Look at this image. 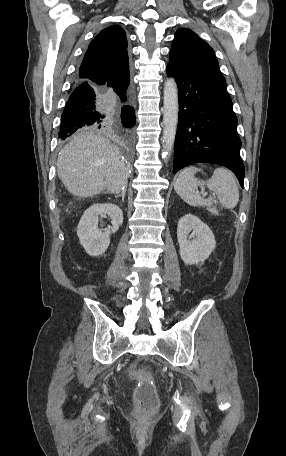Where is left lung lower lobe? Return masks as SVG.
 <instances>
[{
  "instance_id": "0a47b994",
  "label": "left lung lower lobe",
  "mask_w": 286,
  "mask_h": 456,
  "mask_svg": "<svg viewBox=\"0 0 286 456\" xmlns=\"http://www.w3.org/2000/svg\"><path fill=\"white\" fill-rule=\"evenodd\" d=\"M167 74L175 77L179 91L173 173L198 162L214 163L234 172L244 188L241 140L226 88L171 64Z\"/></svg>"
}]
</instances>
